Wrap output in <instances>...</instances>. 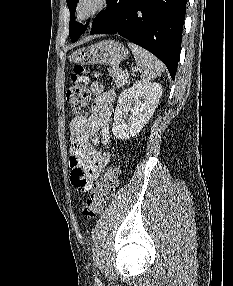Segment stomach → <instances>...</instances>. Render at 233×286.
Masks as SVG:
<instances>
[{"mask_svg": "<svg viewBox=\"0 0 233 286\" xmlns=\"http://www.w3.org/2000/svg\"><path fill=\"white\" fill-rule=\"evenodd\" d=\"M127 56L128 51L124 45L116 41L107 40L77 49L70 55L69 59L75 64H103L117 68L119 63L126 59Z\"/></svg>", "mask_w": 233, "mask_h": 286, "instance_id": "0dacf381", "label": "stomach"}]
</instances>
